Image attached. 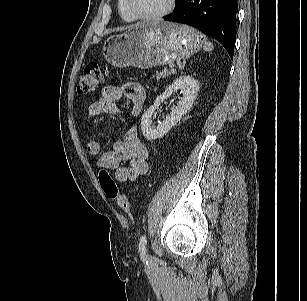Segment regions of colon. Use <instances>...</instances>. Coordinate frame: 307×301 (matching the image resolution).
<instances>
[{"label":"colon","instance_id":"1","mask_svg":"<svg viewBox=\"0 0 307 301\" xmlns=\"http://www.w3.org/2000/svg\"><path fill=\"white\" fill-rule=\"evenodd\" d=\"M107 73L108 70L105 66H100L95 62L88 63L79 79L77 87L78 93L81 95L93 93L103 82ZM99 181L105 194L108 197L117 200L124 213L131 221H133L134 213L132 206L128 198L120 191L117 183L107 169L103 168L100 170Z\"/></svg>","mask_w":307,"mask_h":301}]
</instances>
